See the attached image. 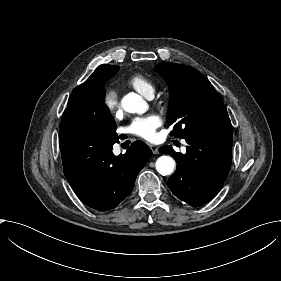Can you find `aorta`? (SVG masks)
<instances>
[{"instance_id": "aorta-1", "label": "aorta", "mask_w": 281, "mask_h": 281, "mask_svg": "<svg viewBox=\"0 0 281 281\" xmlns=\"http://www.w3.org/2000/svg\"><path fill=\"white\" fill-rule=\"evenodd\" d=\"M122 108L129 113L143 114L148 109L147 102L136 93H128L121 100ZM175 160L163 155L156 160V170L163 176L171 175L175 169Z\"/></svg>"}]
</instances>
